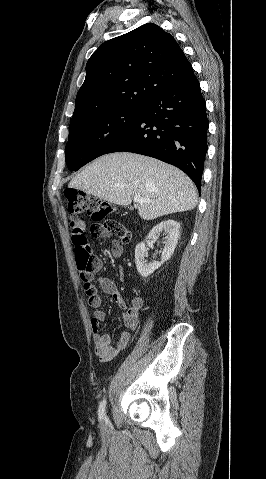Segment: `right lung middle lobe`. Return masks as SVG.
I'll list each match as a JSON object with an SVG mask.
<instances>
[{
    "instance_id": "1",
    "label": "right lung middle lobe",
    "mask_w": 266,
    "mask_h": 479,
    "mask_svg": "<svg viewBox=\"0 0 266 479\" xmlns=\"http://www.w3.org/2000/svg\"><path fill=\"white\" fill-rule=\"evenodd\" d=\"M142 112L143 107L121 108L72 120L65 149L69 169L77 171L103 155L136 122Z\"/></svg>"
}]
</instances>
